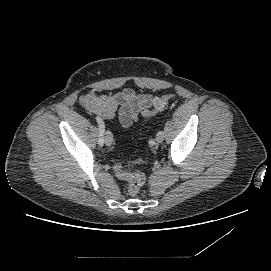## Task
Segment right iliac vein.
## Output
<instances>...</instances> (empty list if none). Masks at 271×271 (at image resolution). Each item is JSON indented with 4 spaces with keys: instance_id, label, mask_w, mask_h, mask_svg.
<instances>
[{
    "instance_id": "obj_1",
    "label": "right iliac vein",
    "mask_w": 271,
    "mask_h": 271,
    "mask_svg": "<svg viewBox=\"0 0 271 271\" xmlns=\"http://www.w3.org/2000/svg\"><path fill=\"white\" fill-rule=\"evenodd\" d=\"M112 134L110 131H106L105 132V137H104V141L106 145H111L112 144Z\"/></svg>"
}]
</instances>
